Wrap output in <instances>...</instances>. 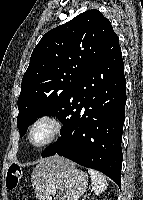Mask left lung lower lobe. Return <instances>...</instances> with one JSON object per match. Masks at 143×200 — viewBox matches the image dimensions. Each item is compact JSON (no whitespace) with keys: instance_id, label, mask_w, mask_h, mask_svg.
I'll use <instances>...</instances> for the list:
<instances>
[{"instance_id":"obj_1","label":"left lung lower lobe","mask_w":143,"mask_h":200,"mask_svg":"<svg viewBox=\"0 0 143 200\" xmlns=\"http://www.w3.org/2000/svg\"><path fill=\"white\" fill-rule=\"evenodd\" d=\"M125 104L126 79L116 35L78 80L70 96L68 125L42 157L64 156L120 186Z\"/></svg>"}]
</instances>
